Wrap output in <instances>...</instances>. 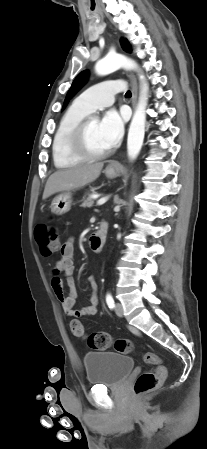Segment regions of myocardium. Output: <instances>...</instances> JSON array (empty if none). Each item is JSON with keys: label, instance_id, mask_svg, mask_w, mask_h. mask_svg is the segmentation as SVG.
<instances>
[{"label": "myocardium", "instance_id": "f54148a6", "mask_svg": "<svg viewBox=\"0 0 207 449\" xmlns=\"http://www.w3.org/2000/svg\"><path fill=\"white\" fill-rule=\"evenodd\" d=\"M91 121L90 118H85L75 126L70 135L69 147L71 152L83 160H99L111 152L110 148L95 152L88 147L86 133Z\"/></svg>", "mask_w": 207, "mask_h": 449}]
</instances>
